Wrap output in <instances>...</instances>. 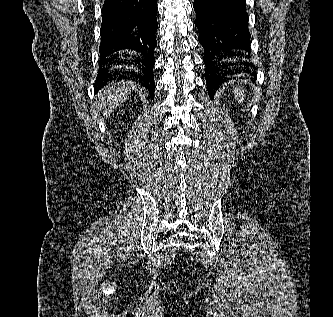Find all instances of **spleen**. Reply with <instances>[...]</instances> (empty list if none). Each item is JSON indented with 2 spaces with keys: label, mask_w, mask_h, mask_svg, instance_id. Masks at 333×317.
Wrapping results in <instances>:
<instances>
[{
  "label": "spleen",
  "mask_w": 333,
  "mask_h": 317,
  "mask_svg": "<svg viewBox=\"0 0 333 317\" xmlns=\"http://www.w3.org/2000/svg\"><path fill=\"white\" fill-rule=\"evenodd\" d=\"M233 93L239 103L244 101L245 94L242 87H235Z\"/></svg>",
  "instance_id": "1"
}]
</instances>
